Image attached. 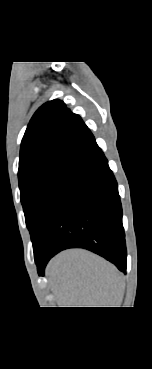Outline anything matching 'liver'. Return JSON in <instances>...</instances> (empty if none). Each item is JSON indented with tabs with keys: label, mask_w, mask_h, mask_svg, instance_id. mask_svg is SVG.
Returning <instances> with one entry per match:
<instances>
[{
	"label": "liver",
	"mask_w": 152,
	"mask_h": 369,
	"mask_svg": "<svg viewBox=\"0 0 152 369\" xmlns=\"http://www.w3.org/2000/svg\"><path fill=\"white\" fill-rule=\"evenodd\" d=\"M59 307H120L123 275L103 258L82 249L67 250L47 266Z\"/></svg>",
	"instance_id": "obj_1"
}]
</instances>
